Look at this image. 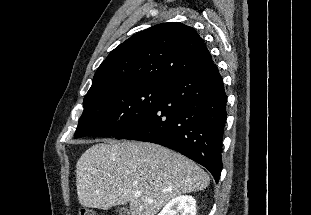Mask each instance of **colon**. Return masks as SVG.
I'll list each match as a JSON object with an SVG mask.
<instances>
[{
	"label": "colon",
	"instance_id": "5ec220e1",
	"mask_svg": "<svg viewBox=\"0 0 311 215\" xmlns=\"http://www.w3.org/2000/svg\"><path fill=\"white\" fill-rule=\"evenodd\" d=\"M79 215H96V213L88 208H83L80 210Z\"/></svg>",
	"mask_w": 311,
	"mask_h": 215
}]
</instances>
